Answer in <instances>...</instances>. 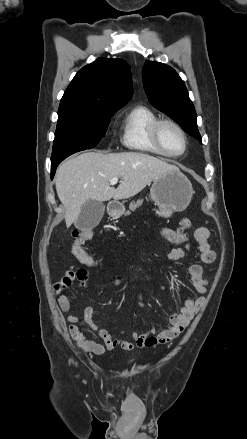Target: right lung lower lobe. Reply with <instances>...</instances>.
Returning <instances> with one entry per match:
<instances>
[{
    "label": "right lung lower lobe",
    "instance_id": "98d812e1",
    "mask_svg": "<svg viewBox=\"0 0 247 439\" xmlns=\"http://www.w3.org/2000/svg\"><path fill=\"white\" fill-rule=\"evenodd\" d=\"M57 166H58V164H57V165H54V166H51V177H52V178H53V176H54V174H55V171H56Z\"/></svg>",
    "mask_w": 247,
    "mask_h": 439
}]
</instances>
